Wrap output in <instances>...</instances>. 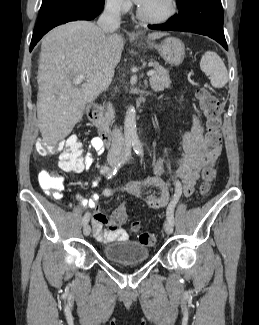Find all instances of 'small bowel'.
Wrapping results in <instances>:
<instances>
[{"label": "small bowel", "instance_id": "1", "mask_svg": "<svg viewBox=\"0 0 259 325\" xmlns=\"http://www.w3.org/2000/svg\"><path fill=\"white\" fill-rule=\"evenodd\" d=\"M183 156L178 160L176 168L170 173H166L163 167V161L159 158L154 164V175L141 180H133L127 183L124 187V192L127 194L141 198L143 197L146 203L152 209L165 207L170 199L171 182L165 179L169 178L182 182L181 191L184 196L189 197L193 194L195 184L200 175L205 169L213 167L221 152L220 143L216 147H210L203 136V127L197 116H193L191 126L182 136ZM90 147L94 151L101 153L104 151V144L100 137H93L90 140ZM93 163L92 153L88 152L79 159L77 164L65 170L73 173H81L85 168L90 167ZM60 166L62 162L60 161ZM97 185V180L93 182V186ZM153 186L160 189L159 196L148 195L144 196L145 187ZM114 192L106 188L102 191L104 197L114 196ZM81 204L84 207H89L94 210L92 215V227L94 236L98 241L108 243L113 240L124 241L130 237L129 231L121 226H113L110 222L109 229H105L108 219L105 214L98 208V195H92L90 199L81 198ZM117 210V209H116Z\"/></svg>", "mask_w": 259, "mask_h": 325}]
</instances>
